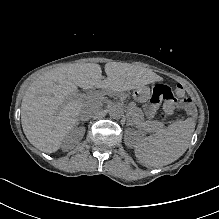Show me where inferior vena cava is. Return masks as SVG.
Here are the masks:
<instances>
[{
  "instance_id": "1",
  "label": "inferior vena cava",
  "mask_w": 219,
  "mask_h": 219,
  "mask_svg": "<svg viewBox=\"0 0 219 219\" xmlns=\"http://www.w3.org/2000/svg\"><path fill=\"white\" fill-rule=\"evenodd\" d=\"M95 116V111L92 107L90 106H85L81 109L80 111V119H83L85 121H90L94 118Z\"/></svg>"
}]
</instances>
